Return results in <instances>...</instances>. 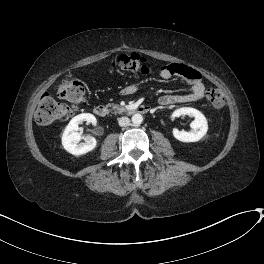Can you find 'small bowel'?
<instances>
[{"label":"small bowel","mask_w":264,"mask_h":264,"mask_svg":"<svg viewBox=\"0 0 264 264\" xmlns=\"http://www.w3.org/2000/svg\"><path fill=\"white\" fill-rule=\"evenodd\" d=\"M160 75L164 79H171L174 76H179L190 86V92L185 95H162L159 98V104L161 106L197 102L204 98L205 86L199 77L198 71L195 69L186 65L171 64L163 67ZM134 91L135 88L133 86H129L123 90V94L130 95L134 93Z\"/></svg>","instance_id":"1"}]
</instances>
